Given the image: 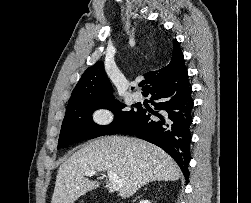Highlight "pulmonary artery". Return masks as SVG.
Instances as JSON below:
<instances>
[{"mask_svg": "<svg viewBox=\"0 0 251 203\" xmlns=\"http://www.w3.org/2000/svg\"><path fill=\"white\" fill-rule=\"evenodd\" d=\"M133 99L135 101H142L143 100V95L140 92H134L133 93Z\"/></svg>", "mask_w": 251, "mask_h": 203, "instance_id": "e3ab8cb5", "label": "pulmonary artery"}]
</instances>
